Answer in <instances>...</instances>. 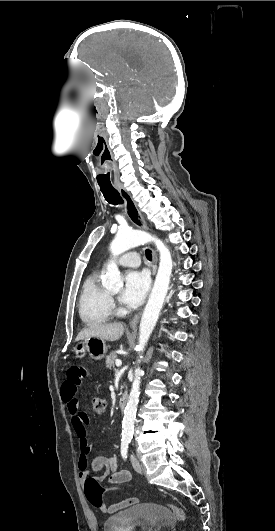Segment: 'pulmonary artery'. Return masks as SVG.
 I'll return each mask as SVG.
<instances>
[{
  "mask_svg": "<svg viewBox=\"0 0 275 531\" xmlns=\"http://www.w3.org/2000/svg\"><path fill=\"white\" fill-rule=\"evenodd\" d=\"M131 255H136V252H129L128 256H125L122 260H121V263L124 264V265H128V266H133V265H136L139 267V264H138V259H134V258H131Z\"/></svg>",
  "mask_w": 275,
  "mask_h": 531,
  "instance_id": "obj_1",
  "label": "pulmonary artery"
}]
</instances>
